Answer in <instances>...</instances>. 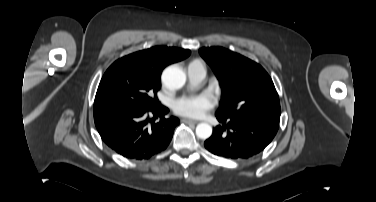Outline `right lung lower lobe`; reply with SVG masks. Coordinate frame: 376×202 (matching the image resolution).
Returning <instances> with one entry per match:
<instances>
[{"instance_id": "right-lung-lower-lobe-1", "label": "right lung lower lobe", "mask_w": 376, "mask_h": 202, "mask_svg": "<svg viewBox=\"0 0 376 202\" xmlns=\"http://www.w3.org/2000/svg\"><path fill=\"white\" fill-rule=\"evenodd\" d=\"M168 111L161 104L149 109L112 107L94 112V121L102 140L110 148L126 158L142 160L169 145L179 119L165 118ZM149 113L161 116L160 122L148 119Z\"/></svg>"}]
</instances>
